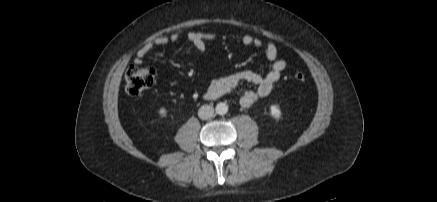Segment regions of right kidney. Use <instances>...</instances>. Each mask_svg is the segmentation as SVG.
Returning <instances> with one entry per match:
<instances>
[{
    "label": "right kidney",
    "mask_w": 437,
    "mask_h": 202,
    "mask_svg": "<svg viewBox=\"0 0 437 202\" xmlns=\"http://www.w3.org/2000/svg\"><path fill=\"white\" fill-rule=\"evenodd\" d=\"M158 113H159L161 116H163V115L166 113L165 108H160L159 111H158Z\"/></svg>",
    "instance_id": "right-kidney-1"
}]
</instances>
